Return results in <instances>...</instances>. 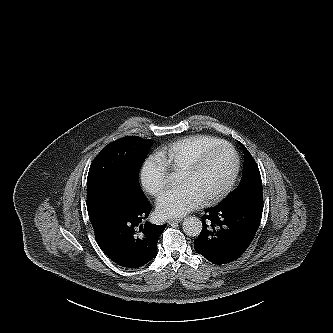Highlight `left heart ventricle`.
Wrapping results in <instances>:
<instances>
[{
	"instance_id": "left-heart-ventricle-1",
	"label": "left heart ventricle",
	"mask_w": 333,
	"mask_h": 333,
	"mask_svg": "<svg viewBox=\"0 0 333 333\" xmlns=\"http://www.w3.org/2000/svg\"><path fill=\"white\" fill-rule=\"evenodd\" d=\"M234 166L233 152L224 147L211 154L197 172L179 174L178 182L192 186L204 199L219 191L226 184Z\"/></svg>"
}]
</instances>
